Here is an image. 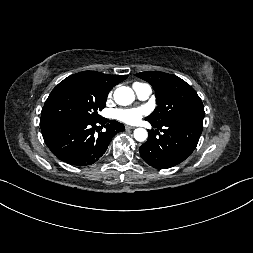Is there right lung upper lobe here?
<instances>
[{
    "label": "right lung upper lobe",
    "instance_id": "1",
    "mask_svg": "<svg viewBox=\"0 0 253 253\" xmlns=\"http://www.w3.org/2000/svg\"><path fill=\"white\" fill-rule=\"evenodd\" d=\"M81 73L88 76L107 91H110L115 85L127 78V75H108L96 71H84Z\"/></svg>",
    "mask_w": 253,
    "mask_h": 253
}]
</instances>
